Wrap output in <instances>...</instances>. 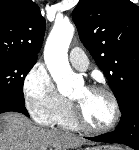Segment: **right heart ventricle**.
<instances>
[{
    "label": "right heart ventricle",
    "instance_id": "obj_1",
    "mask_svg": "<svg viewBox=\"0 0 139 150\" xmlns=\"http://www.w3.org/2000/svg\"><path fill=\"white\" fill-rule=\"evenodd\" d=\"M55 124L66 130H77L79 128L74 120L72 105L69 101L65 109L56 119Z\"/></svg>",
    "mask_w": 139,
    "mask_h": 150
}]
</instances>
